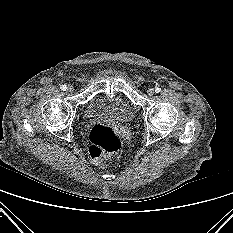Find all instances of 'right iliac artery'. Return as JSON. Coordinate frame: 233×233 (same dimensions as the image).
<instances>
[{
    "instance_id": "obj_1",
    "label": "right iliac artery",
    "mask_w": 233,
    "mask_h": 233,
    "mask_svg": "<svg viewBox=\"0 0 233 233\" xmlns=\"http://www.w3.org/2000/svg\"><path fill=\"white\" fill-rule=\"evenodd\" d=\"M61 90L65 91L67 89V86L66 85H61Z\"/></svg>"
}]
</instances>
